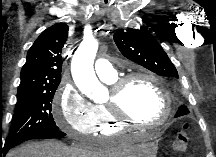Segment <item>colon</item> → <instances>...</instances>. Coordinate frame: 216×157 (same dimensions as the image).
<instances>
[{"mask_svg": "<svg viewBox=\"0 0 216 157\" xmlns=\"http://www.w3.org/2000/svg\"><path fill=\"white\" fill-rule=\"evenodd\" d=\"M190 143V135L188 131V124L185 123L181 126V128L176 133L173 149L177 153H185L188 149Z\"/></svg>", "mask_w": 216, "mask_h": 157, "instance_id": "5ec220e1", "label": "colon"}]
</instances>
